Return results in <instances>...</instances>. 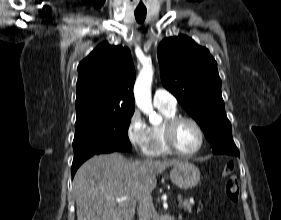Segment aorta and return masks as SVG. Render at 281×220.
<instances>
[{"instance_id": "762f6f07", "label": "aorta", "mask_w": 281, "mask_h": 220, "mask_svg": "<svg viewBox=\"0 0 281 220\" xmlns=\"http://www.w3.org/2000/svg\"><path fill=\"white\" fill-rule=\"evenodd\" d=\"M154 70L151 66L141 69L134 85V97L138 108L147 116L152 124H158L162 118L153 110L151 85Z\"/></svg>"}]
</instances>
